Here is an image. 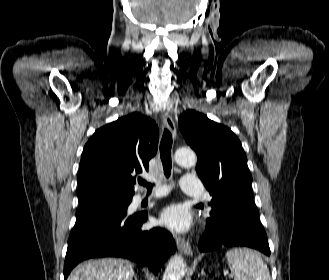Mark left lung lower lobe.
<instances>
[{
	"label": "left lung lower lobe",
	"instance_id": "obj_1",
	"mask_svg": "<svg viewBox=\"0 0 329 280\" xmlns=\"http://www.w3.org/2000/svg\"><path fill=\"white\" fill-rule=\"evenodd\" d=\"M201 237L200 251L206 252L220 246H247L270 255L265 230L258 219V209L251 196L235 201L228 208L224 222L215 230L209 223Z\"/></svg>",
	"mask_w": 329,
	"mask_h": 280
}]
</instances>
